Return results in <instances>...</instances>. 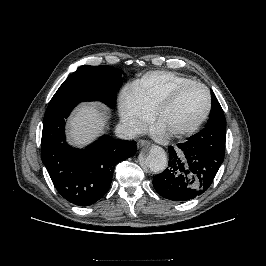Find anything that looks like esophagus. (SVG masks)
Masks as SVG:
<instances>
[{"mask_svg": "<svg viewBox=\"0 0 266 266\" xmlns=\"http://www.w3.org/2000/svg\"><path fill=\"white\" fill-rule=\"evenodd\" d=\"M150 145V142L147 141V140H143V139H140L138 142H137V147L138 148H141L143 146H148Z\"/></svg>", "mask_w": 266, "mask_h": 266, "instance_id": "obj_1", "label": "esophagus"}]
</instances>
